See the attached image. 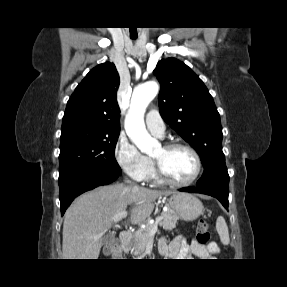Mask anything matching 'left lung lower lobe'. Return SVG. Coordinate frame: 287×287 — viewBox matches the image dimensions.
I'll return each mask as SVG.
<instances>
[{"label": "left lung lower lobe", "mask_w": 287, "mask_h": 287, "mask_svg": "<svg viewBox=\"0 0 287 287\" xmlns=\"http://www.w3.org/2000/svg\"><path fill=\"white\" fill-rule=\"evenodd\" d=\"M179 190L183 191V192L201 193V194H206V195L213 196V197L217 198L226 209H228V205H229V201H228L229 191H226V190H224L222 188L196 186V187H185V188H181Z\"/></svg>", "instance_id": "1"}]
</instances>
